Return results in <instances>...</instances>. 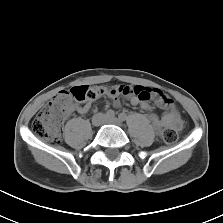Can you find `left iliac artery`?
<instances>
[{
    "label": "left iliac artery",
    "instance_id": "left-iliac-artery-1",
    "mask_svg": "<svg viewBox=\"0 0 223 223\" xmlns=\"http://www.w3.org/2000/svg\"><path fill=\"white\" fill-rule=\"evenodd\" d=\"M118 118H119L121 121H124V120H126L127 116H126V114L121 113V114L118 115Z\"/></svg>",
    "mask_w": 223,
    "mask_h": 223
}]
</instances>
